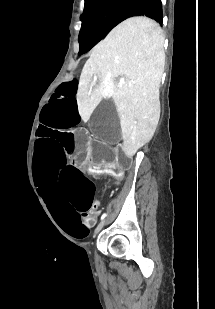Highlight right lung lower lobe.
I'll use <instances>...</instances> for the list:
<instances>
[{"label":"right lung lower lobe","mask_w":215,"mask_h":309,"mask_svg":"<svg viewBox=\"0 0 215 309\" xmlns=\"http://www.w3.org/2000/svg\"><path fill=\"white\" fill-rule=\"evenodd\" d=\"M134 16H146L161 24L163 21L161 0H130L115 24Z\"/></svg>","instance_id":"obj_1"}]
</instances>
